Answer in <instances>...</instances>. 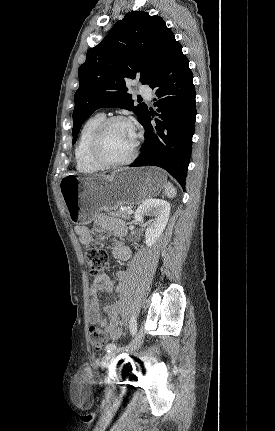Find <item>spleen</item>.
<instances>
[{
  "label": "spleen",
  "instance_id": "1",
  "mask_svg": "<svg viewBox=\"0 0 275 431\" xmlns=\"http://www.w3.org/2000/svg\"><path fill=\"white\" fill-rule=\"evenodd\" d=\"M164 193L167 197L173 198L176 196L177 192L174 186L170 182H167L166 185L164 186Z\"/></svg>",
  "mask_w": 275,
  "mask_h": 431
}]
</instances>
